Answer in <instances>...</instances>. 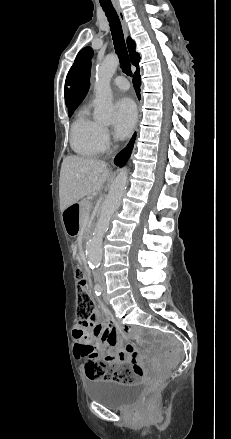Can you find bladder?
Segmentation results:
<instances>
[{
    "instance_id": "1",
    "label": "bladder",
    "mask_w": 231,
    "mask_h": 439,
    "mask_svg": "<svg viewBox=\"0 0 231 439\" xmlns=\"http://www.w3.org/2000/svg\"><path fill=\"white\" fill-rule=\"evenodd\" d=\"M141 391L142 385L139 382L121 384L99 379L90 381L87 385L88 398L108 408H121L128 405L138 398Z\"/></svg>"
}]
</instances>
